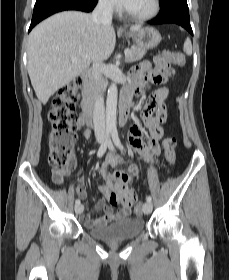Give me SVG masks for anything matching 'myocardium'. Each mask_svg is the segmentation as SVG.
Returning a JSON list of instances; mask_svg holds the SVG:
<instances>
[{
    "label": "myocardium",
    "mask_w": 229,
    "mask_h": 280,
    "mask_svg": "<svg viewBox=\"0 0 229 280\" xmlns=\"http://www.w3.org/2000/svg\"><path fill=\"white\" fill-rule=\"evenodd\" d=\"M161 10V2L160 0H152L151 8L145 12V13H133L128 11L125 7L122 8V11L125 15H127L129 18L139 21V22H145L148 21L154 17H156Z\"/></svg>",
    "instance_id": "f54148a6"
}]
</instances>
